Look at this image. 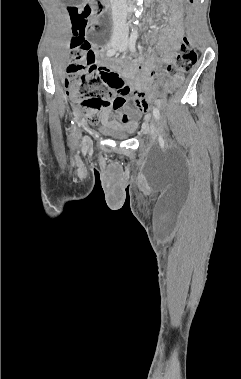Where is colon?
Segmentation results:
<instances>
[{
  "label": "colon",
  "mask_w": 241,
  "mask_h": 379,
  "mask_svg": "<svg viewBox=\"0 0 241 379\" xmlns=\"http://www.w3.org/2000/svg\"><path fill=\"white\" fill-rule=\"evenodd\" d=\"M190 4L195 0H187ZM99 10L101 0H95ZM71 18L73 29L77 33L71 41L72 61L67 67L68 78L66 86L69 95L85 113L86 118L91 123H96L102 112L110 108L116 95H126L130 92L120 78L104 66L95 63V51L88 41L83 38L87 28L88 18L92 13L89 5L67 7ZM197 54L192 48L189 40L184 38L177 50L174 66L169 70H176L180 77L189 72L196 64ZM177 87L166 84L164 87H151L144 101L153 99L157 94H163L168 99H173Z\"/></svg>",
  "instance_id": "5ec220e1"
}]
</instances>
